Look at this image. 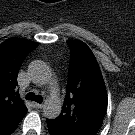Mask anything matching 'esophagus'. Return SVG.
I'll list each match as a JSON object with an SVG mask.
<instances>
[{"label":"esophagus","instance_id":"34e87169","mask_svg":"<svg viewBox=\"0 0 135 135\" xmlns=\"http://www.w3.org/2000/svg\"><path fill=\"white\" fill-rule=\"evenodd\" d=\"M32 106H33L34 108H42V107H43L42 104L36 103V102H32Z\"/></svg>","mask_w":135,"mask_h":135}]
</instances>
